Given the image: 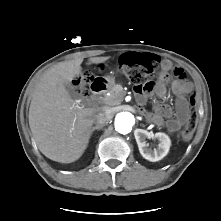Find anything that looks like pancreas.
Instances as JSON below:
<instances>
[{"mask_svg": "<svg viewBox=\"0 0 221 221\" xmlns=\"http://www.w3.org/2000/svg\"><path fill=\"white\" fill-rule=\"evenodd\" d=\"M109 93L110 95L103 98V102L106 106H117L121 104L126 95V91L121 85L113 86L110 89Z\"/></svg>", "mask_w": 221, "mask_h": 221, "instance_id": "cf45deb5", "label": "pancreas"}]
</instances>
